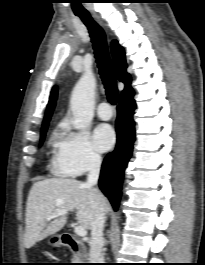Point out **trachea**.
<instances>
[{"label": "trachea", "instance_id": "3493384b", "mask_svg": "<svg viewBox=\"0 0 205 265\" xmlns=\"http://www.w3.org/2000/svg\"><path fill=\"white\" fill-rule=\"evenodd\" d=\"M77 16L80 17L89 30L107 99L112 105H115L118 99V88L115 71L108 52L106 35L90 14H77Z\"/></svg>", "mask_w": 205, "mask_h": 265}]
</instances>
